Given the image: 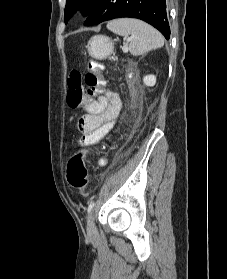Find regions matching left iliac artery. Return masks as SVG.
<instances>
[{
	"mask_svg": "<svg viewBox=\"0 0 227 279\" xmlns=\"http://www.w3.org/2000/svg\"><path fill=\"white\" fill-rule=\"evenodd\" d=\"M95 206V202H91L88 206V214L92 211L93 207Z\"/></svg>",
	"mask_w": 227,
	"mask_h": 279,
	"instance_id": "1",
	"label": "left iliac artery"
}]
</instances>
